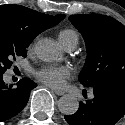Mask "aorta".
I'll list each match as a JSON object with an SVG mask.
<instances>
[{"label": "aorta", "mask_w": 125, "mask_h": 125, "mask_svg": "<svg viewBox=\"0 0 125 125\" xmlns=\"http://www.w3.org/2000/svg\"><path fill=\"white\" fill-rule=\"evenodd\" d=\"M35 53L37 57L44 62H52L59 58L60 51L55 42L51 39H41L35 45ZM79 102L76 97L64 95L58 100V108L64 115H72L76 113Z\"/></svg>", "instance_id": "aorta-1"}]
</instances>
